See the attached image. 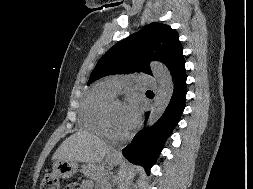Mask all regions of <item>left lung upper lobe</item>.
Listing matches in <instances>:
<instances>
[{
	"instance_id": "obj_1",
	"label": "left lung upper lobe",
	"mask_w": 253,
	"mask_h": 189,
	"mask_svg": "<svg viewBox=\"0 0 253 189\" xmlns=\"http://www.w3.org/2000/svg\"><path fill=\"white\" fill-rule=\"evenodd\" d=\"M151 60L162 62L174 73L184 62L178 34L162 23H151L110 48L93 69L88 85L111 74L144 71L151 74Z\"/></svg>"
}]
</instances>
